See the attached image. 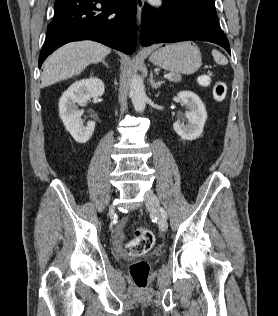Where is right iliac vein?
Returning a JSON list of instances; mask_svg holds the SVG:
<instances>
[{
	"instance_id": "obj_1",
	"label": "right iliac vein",
	"mask_w": 278,
	"mask_h": 316,
	"mask_svg": "<svg viewBox=\"0 0 278 316\" xmlns=\"http://www.w3.org/2000/svg\"><path fill=\"white\" fill-rule=\"evenodd\" d=\"M111 211H114V207L111 208Z\"/></svg>"
}]
</instances>
